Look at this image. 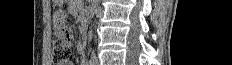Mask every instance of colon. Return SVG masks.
I'll return each instance as SVG.
<instances>
[{"mask_svg":"<svg viewBox=\"0 0 232 65\" xmlns=\"http://www.w3.org/2000/svg\"><path fill=\"white\" fill-rule=\"evenodd\" d=\"M71 40L68 37H61L53 43V61L55 64L62 65L72 58L70 47Z\"/></svg>","mask_w":232,"mask_h":65,"instance_id":"5ec220e1","label":"colon"}]
</instances>
